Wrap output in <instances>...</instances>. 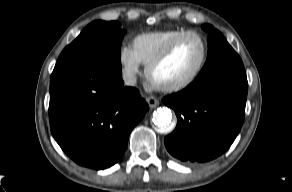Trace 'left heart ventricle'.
Masks as SVG:
<instances>
[{
  "label": "left heart ventricle",
  "instance_id": "1",
  "mask_svg": "<svg viewBox=\"0 0 292 192\" xmlns=\"http://www.w3.org/2000/svg\"><path fill=\"white\" fill-rule=\"evenodd\" d=\"M201 57V41L195 36L186 37L172 54L153 70L152 79L160 85L181 81L196 69Z\"/></svg>",
  "mask_w": 292,
  "mask_h": 192
}]
</instances>
